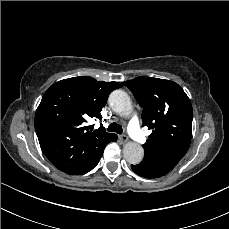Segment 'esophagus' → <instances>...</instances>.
Instances as JSON below:
<instances>
[{"label": "esophagus", "mask_w": 229, "mask_h": 229, "mask_svg": "<svg viewBox=\"0 0 229 229\" xmlns=\"http://www.w3.org/2000/svg\"><path fill=\"white\" fill-rule=\"evenodd\" d=\"M119 140L124 144L129 140V137L127 135H120Z\"/></svg>", "instance_id": "34e87169"}]
</instances>
